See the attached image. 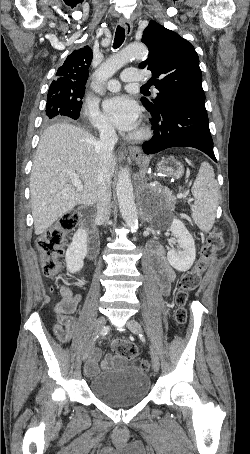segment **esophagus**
Instances as JSON below:
<instances>
[{"label": "esophagus", "instance_id": "obj_1", "mask_svg": "<svg viewBox=\"0 0 250 454\" xmlns=\"http://www.w3.org/2000/svg\"><path fill=\"white\" fill-rule=\"evenodd\" d=\"M119 24H120V26H122L125 29L128 36L131 35L132 30H133V24L130 20L121 18L119 20ZM129 154L133 160L142 159V150L139 146H131L129 148Z\"/></svg>", "mask_w": 250, "mask_h": 454}]
</instances>
